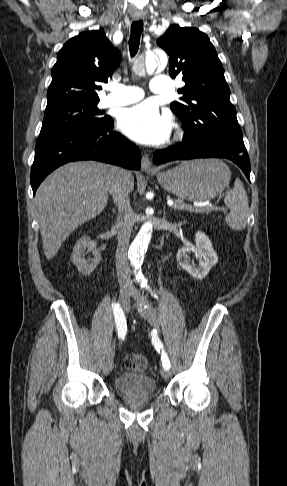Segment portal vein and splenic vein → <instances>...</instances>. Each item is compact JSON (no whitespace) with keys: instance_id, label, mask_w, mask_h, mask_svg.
Returning a JSON list of instances; mask_svg holds the SVG:
<instances>
[{"instance_id":"18ae733b","label":"portal vein and splenic vein","mask_w":287,"mask_h":486,"mask_svg":"<svg viewBox=\"0 0 287 486\" xmlns=\"http://www.w3.org/2000/svg\"><path fill=\"white\" fill-rule=\"evenodd\" d=\"M170 207H174L180 210H185L189 212H196V213H203L208 208H213V205L210 202H206L200 205H189V204H175L173 201L167 202ZM222 210H224L222 208Z\"/></svg>"}]
</instances>
